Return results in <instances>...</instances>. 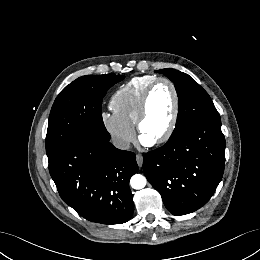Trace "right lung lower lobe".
<instances>
[{"instance_id": "obj_1", "label": "right lung lower lobe", "mask_w": 260, "mask_h": 260, "mask_svg": "<svg viewBox=\"0 0 260 260\" xmlns=\"http://www.w3.org/2000/svg\"><path fill=\"white\" fill-rule=\"evenodd\" d=\"M138 170L135 154L93 137L78 139L49 159L61 198L85 219L127 222L134 210L129 180Z\"/></svg>"}]
</instances>
